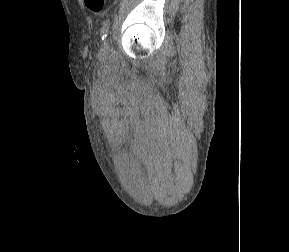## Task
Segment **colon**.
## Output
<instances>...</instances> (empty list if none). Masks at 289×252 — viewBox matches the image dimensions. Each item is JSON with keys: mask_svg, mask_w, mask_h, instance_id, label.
I'll list each match as a JSON object with an SVG mask.
<instances>
[{"mask_svg": "<svg viewBox=\"0 0 289 252\" xmlns=\"http://www.w3.org/2000/svg\"><path fill=\"white\" fill-rule=\"evenodd\" d=\"M86 7L93 13H100L105 5V0H84Z\"/></svg>", "mask_w": 289, "mask_h": 252, "instance_id": "obj_1", "label": "colon"}]
</instances>
